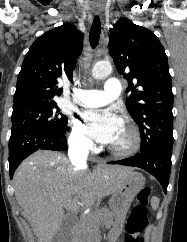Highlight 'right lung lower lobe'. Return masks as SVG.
<instances>
[{"label": "right lung lower lobe", "mask_w": 187, "mask_h": 242, "mask_svg": "<svg viewBox=\"0 0 187 242\" xmlns=\"http://www.w3.org/2000/svg\"><path fill=\"white\" fill-rule=\"evenodd\" d=\"M39 149L67 151L65 134L46 130L11 131L9 140V172L11 179L18 165L27 156Z\"/></svg>", "instance_id": "right-lung-lower-lobe-1"}]
</instances>
